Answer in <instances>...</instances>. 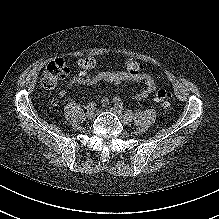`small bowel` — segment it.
Returning <instances> with one entry per match:
<instances>
[{
  "label": "small bowel",
  "mask_w": 219,
  "mask_h": 219,
  "mask_svg": "<svg viewBox=\"0 0 219 219\" xmlns=\"http://www.w3.org/2000/svg\"><path fill=\"white\" fill-rule=\"evenodd\" d=\"M80 72L78 75L72 77L67 88L71 89L76 85L94 86L101 81L118 85L121 82L135 83L142 82L144 88H142L136 95L135 99L140 101L146 99L155 90V79L152 75L142 72V65L136 60L130 59L126 62V70L119 71H103L96 74H90L91 68L85 67V59L80 60ZM66 95V90H61L59 96L62 98ZM109 100L103 99V103L107 104Z\"/></svg>",
  "instance_id": "1"
}]
</instances>
